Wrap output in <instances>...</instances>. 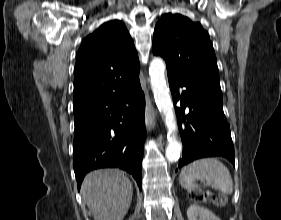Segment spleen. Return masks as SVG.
<instances>
[{"mask_svg": "<svg viewBox=\"0 0 281 220\" xmlns=\"http://www.w3.org/2000/svg\"><path fill=\"white\" fill-rule=\"evenodd\" d=\"M195 180H202L205 185L225 194L233 192V181L228 168L215 158L199 159L182 168L179 182L183 188L188 191L196 189L198 185Z\"/></svg>", "mask_w": 281, "mask_h": 220, "instance_id": "obj_1", "label": "spleen"}]
</instances>
